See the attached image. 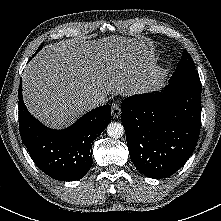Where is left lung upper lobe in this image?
Segmentation results:
<instances>
[{"label": "left lung upper lobe", "instance_id": "obj_1", "mask_svg": "<svg viewBox=\"0 0 221 221\" xmlns=\"http://www.w3.org/2000/svg\"><path fill=\"white\" fill-rule=\"evenodd\" d=\"M169 81L174 83L189 81L200 82L194 61L186 50H183L181 60Z\"/></svg>", "mask_w": 221, "mask_h": 221}]
</instances>
